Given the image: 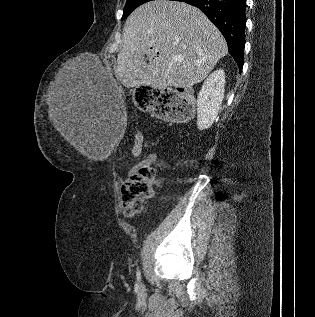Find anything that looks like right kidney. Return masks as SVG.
<instances>
[{"instance_id": "obj_1", "label": "right kidney", "mask_w": 315, "mask_h": 317, "mask_svg": "<svg viewBox=\"0 0 315 317\" xmlns=\"http://www.w3.org/2000/svg\"><path fill=\"white\" fill-rule=\"evenodd\" d=\"M225 73L214 71L205 80L197 98V127L205 130L211 127L220 111L224 98Z\"/></svg>"}]
</instances>
